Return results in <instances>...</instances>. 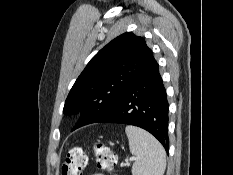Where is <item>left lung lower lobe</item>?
<instances>
[{"mask_svg": "<svg viewBox=\"0 0 233 175\" xmlns=\"http://www.w3.org/2000/svg\"><path fill=\"white\" fill-rule=\"evenodd\" d=\"M95 123L141 127L155 136L168 151V101L155 59L128 86L115 105Z\"/></svg>", "mask_w": 233, "mask_h": 175, "instance_id": "obj_1", "label": "left lung lower lobe"}]
</instances>
